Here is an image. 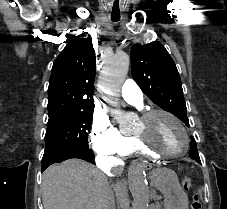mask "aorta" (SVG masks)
Masks as SVG:
<instances>
[{
  "mask_svg": "<svg viewBox=\"0 0 227 209\" xmlns=\"http://www.w3.org/2000/svg\"><path fill=\"white\" fill-rule=\"evenodd\" d=\"M130 58L124 52L109 57L101 70L99 88L109 102L115 101L129 70ZM128 186L134 199V209H148L149 190L144 166L139 162L128 168Z\"/></svg>",
  "mask_w": 227,
  "mask_h": 209,
  "instance_id": "aorta-1",
  "label": "aorta"
}]
</instances>
